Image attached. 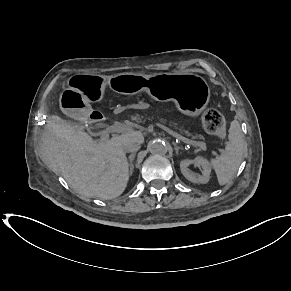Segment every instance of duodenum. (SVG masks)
I'll return each instance as SVG.
<instances>
[{
  "label": "duodenum",
  "instance_id": "410a0bca",
  "mask_svg": "<svg viewBox=\"0 0 291 291\" xmlns=\"http://www.w3.org/2000/svg\"><path fill=\"white\" fill-rule=\"evenodd\" d=\"M90 121L92 122V124L95 125H101L104 124L105 121V117L102 113H100L99 111H92L90 114Z\"/></svg>",
  "mask_w": 291,
  "mask_h": 291
}]
</instances>
